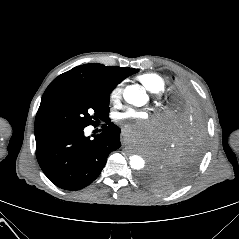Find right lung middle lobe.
I'll return each mask as SVG.
<instances>
[{
	"label": "right lung middle lobe",
	"mask_w": 239,
	"mask_h": 239,
	"mask_svg": "<svg viewBox=\"0 0 239 239\" xmlns=\"http://www.w3.org/2000/svg\"><path fill=\"white\" fill-rule=\"evenodd\" d=\"M111 89L71 90L56 93L41 101L35 129L86 127L109 112Z\"/></svg>",
	"instance_id": "obj_1"
}]
</instances>
